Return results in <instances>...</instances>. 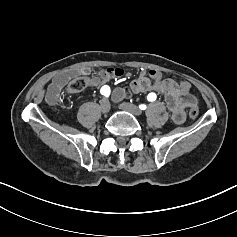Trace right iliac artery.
<instances>
[{
	"mask_svg": "<svg viewBox=\"0 0 237 237\" xmlns=\"http://www.w3.org/2000/svg\"><path fill=\"white\" fill-rule=\"evenodd\" d=\"M110 92H111L110 87L107 85H104L100 90V93L106 97L110 95Z\"/></svg>",
	"mask_w": 237,
	"mask_h": 237,
	"instance_id": "obj_1",
	"label": "right iliac artery"
}]
</instances>
